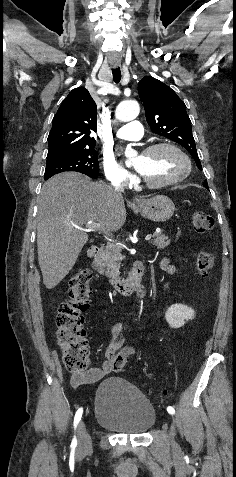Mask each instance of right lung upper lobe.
Wrapping results in <instances>:
<instances>
[{"instance_id": "cb5924a9", "label": "right lung upper lobe", "mask_w": 236, "mask_h": 477, "mask_svg": "<svg viewBox=\"0 0 236 477\" xmlns=\"http://www.w3.org/2000/svg\"><path fill=\"white\" fill-rule=\"evenodd\" d=\"M96 103L85 88H75L63 100L48 136L47 160L63 157L96 144Z\"/></svg>"}]
</instances>
